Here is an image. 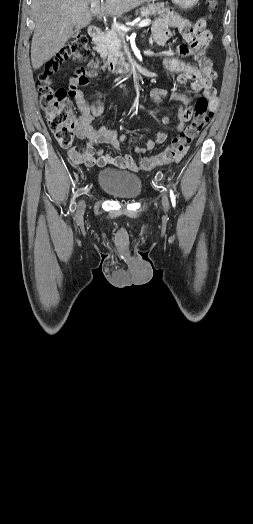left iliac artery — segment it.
<instances>
[{
  "mask_svg": "<svg viewBox=\"0 0 253 524\" xmlns=\"http://www.w3.org/2000/svg\"><path fill=\"white\" fill-rule=\"evenodd\" d=\"M170 197H171L172 205L173 207H175L176 200H175V196L172 190H170Z\"/></svg>",
  "mask_w": 253,
  "mask_h": 524,
  "instance_id": "1",
  "label": "left iliac artery"
}]
</instances>
